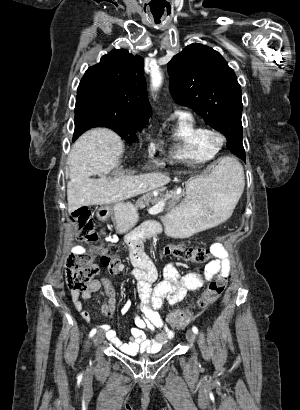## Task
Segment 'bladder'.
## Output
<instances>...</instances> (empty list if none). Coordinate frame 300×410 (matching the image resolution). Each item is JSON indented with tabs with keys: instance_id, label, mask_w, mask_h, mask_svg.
<instances>
[{
	"instance_id": "1",
	"label": "bladder",
	"mask_w": 300,
	"mask_h": 410,
	"mask_svg": "<svg viewBox=\"0 0 300 410\" xmlns=\"http://www.w3.org/2000/svg\"><path fill=\"white\" fill-rule=\"evenodd\" d=\"M162 355H163V351L158 352V353H156V354H154V355H152V356H145V357H144V360L153 361V360H156V359L160 358Z\"/></svg>"
}]
</instances>
